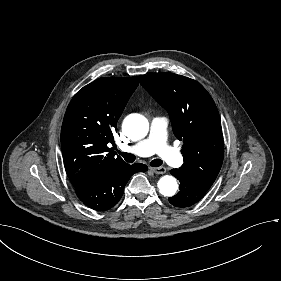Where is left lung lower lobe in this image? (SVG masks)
Listing matches in <instances>:
<instances>
[{
  "instance_id": "obj_1",
  "label": "left lung lower lobe",
  "mask_w": 281,
  "mask_h": 281,
  "mask_svg": "<svg viewBox=\"0 0 281 281\" xmlns=\"http://www.w3.org/2000/svg\"><path fill=\"white\" fill-rule=\"evenodd\" d=\"M171 174L180 181V191L169 202L177 207H188L197 203L207 192V189L199 186L191 177L181 174L178 169H172Z\"/></svg>"
}]
</instances>
